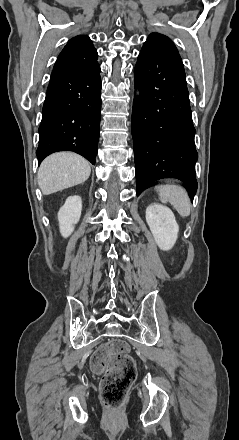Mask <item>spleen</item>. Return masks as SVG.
<instances>
[{
	"label": "spleen",
	"mask_w": 239,
	"mask_h": 440,
	"mask_svg": "<svg viewBox=\"0 0 239 440\" xmlns=\"http://www.w3.org/2000/svg\"><path fill=\"white\" fill-rule=\"evenodd\" d=\"M155 190L162 204L170 202L180 216H190V198L185 188L175 186V184H166V186H155Z\"/></svg>",
	"instance_id": "1"
}]
</instances>
